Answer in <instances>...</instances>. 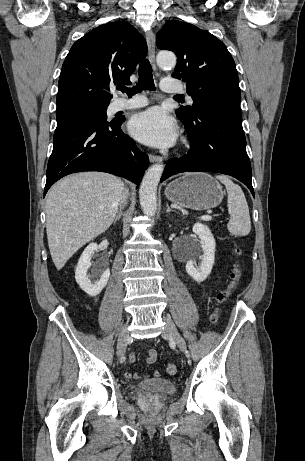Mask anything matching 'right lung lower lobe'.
I'll return each mask as SVG.
<instances>
[{
    "label": "right lung lower lobe",
    "mask_w": 305,
    "mask_h": 461,
    "mask_svg": "<svg viewBox=\"0 0 305 461\" xmlns=\"http://www.w3.org/2000/svg\"><path fill=\"white\" fill-rule=\"evenodd\" d=\"M124 120L103 121L75 113L57 115L44 196L57 180L81 171L107 172L139 185L149 158L121 130Z\"/></svg>",
    "instance_id": "98d812e1"
}]
</instances>
